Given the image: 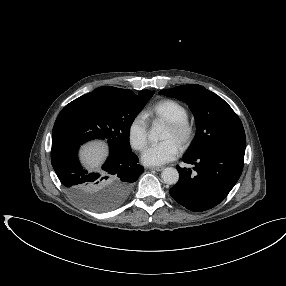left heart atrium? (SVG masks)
<instances>
[{
  "mask_svg": "<svg viewBox=\"0 0 286 286\" xmlns=\"http://www.w3.org/2000/svg\"><path fill=\"white\" fill-rule=\"evenodd\" d=\"M179 152L178 143L168 139L147 147L142 154V161L147 165H162L175 159Z\"/></svg>",
  "mask_w": 286,
  "mask_h": 286,
  "instance_id": "obj_1",
  "label": "left heart atrium"
}]
</instances>
